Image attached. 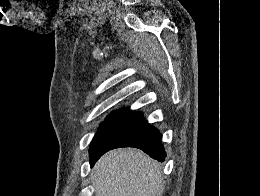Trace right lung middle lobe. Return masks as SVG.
<instances>
[{
    "instance_id": "1",
    "label": "right lung middle lobe",
    "mask_w": 260,
    "mask_h": 196,
    "mask_svg": "<svg viewBox=\"0 0 260 196\" xmlns=\"http://www.w3.org/2000/svg\"><path fill=\"white\" fill-rule=\"evenodd\" d=\"M148 125L141 113L130 114L127 109L115 111L101 124L91 143L90 151L113 148Z\"/></svg>"
}]
</instances>
